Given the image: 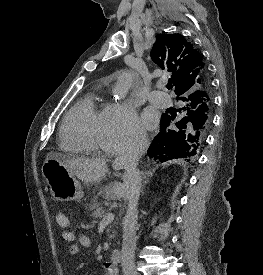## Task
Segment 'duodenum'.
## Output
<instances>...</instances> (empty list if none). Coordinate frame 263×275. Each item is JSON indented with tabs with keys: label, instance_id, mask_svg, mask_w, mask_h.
<instances>
[{
	"label": "duodenum",
	"instance_id": "410a0bca",
	"mask_svg": "<svg viewBox=\"0 0 263 275\" xmlns=\"http://www.w3.org/2000/svg\"><path fill=\"white\" fill-rule=\"evenodd\" d=\"M122 254L119 250H114L108 260L104 262V267L108 271H115L117 265L121 262Z\"/></svg>",
	"mask_w": 263,
	"mask_h": 275
}]
</instances>
